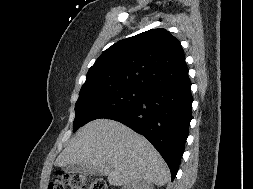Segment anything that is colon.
<instances>
[{"instance_id":"1","label":"colon","mask_w":253,"mask_h":189,"mask_svg":"<svg viewBox=\"0 0 253 189\" xmlns=\"http://www.w3.org/2000/svg\"><path fill=\"white\" fill-rule=\"evenodd\" d=\"M48 189H110L106 182L97 177L78 173L59 172L50 182Z\"/></svg>"}]
</instances>
